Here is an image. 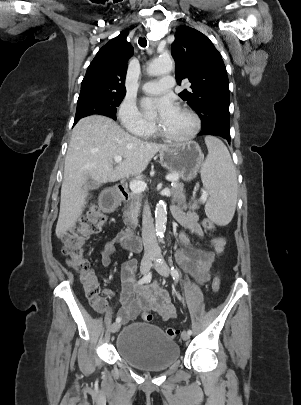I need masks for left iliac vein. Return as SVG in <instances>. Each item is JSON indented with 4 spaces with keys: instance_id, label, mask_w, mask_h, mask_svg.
Returning <instances> with one entry per match:
<instances>
[{
    "instance_id": "left-iliac-vein-1",
    "label": "left iliac vein",
    "mask_w": 301,
    "mask_h": 405,
    "mask_svg": "<svg viewBox=\"0 0 301 405\" xmlns=\"http://www.w3.org/2000/svg\"><path fill=\"white\" fill-rule=\"evenodd\" d=\"M156 270L163 277H168L170 274V269L165 262H161L158 265H156ZM181 337L183 340H188L190 338V334L187 331H183Z\"/></svg>"
}]
</instances>
